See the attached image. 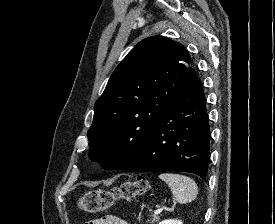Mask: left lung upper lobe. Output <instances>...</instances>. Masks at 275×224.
<instances>
[{"mask_svg":"<svg viewBox=\"0 0 275 224\" xmlns=\"http://www.w3.org/2000/svg\"><path fill=\"white\" fill-rule=\"evenodd\" d=\"M184 46L163 36L138 43L96 101L90 156L108 169L134 161L146 137L196 75Z\"/></svg>","mask_w":275,"mask_h":224,"instance_id":"obj_1","label":"left lung upper lobe"}]
</instances>
